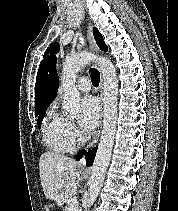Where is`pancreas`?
<instances>
[{
    "label": "pancreas",
    "instance_id": "1",
    "mask_svg": "<svg viewBox=\"0 0 178 211\" xmlns=\"http://www.w3.org/2000/svg\"><path fill=\"white\" fill-rule=\"evenodd\" d=\"M73 198H71V200H72ZM70 206H71V202L69 203V205H68V210L67 211H70ZM76 211H78V210H76Z\"/></svg>",
    "mask_w": 178,
    "mask_h": 211
}]
</instances>
